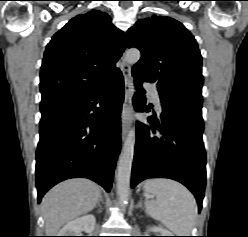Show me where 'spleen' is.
I'll return each instance as SVG.
<instances>
[{
  "mask_svg": "<svg viewBox=\"0 0 248 237\" xmlns=\"http://www.w3.org/2000/svg\"><path fill=\"white\" fill-rule=\"evenodd\" d=\"M144 190L155 200H146V213L160 221L176 236H190L197 216L193 195L180 183L163 178L149 179Z\"/></svg>",
  "mask_w": 248,
  "mask_h": 237,
  "instance_id": "obj_1",
  "label": "spleen"
}]
</instances>
